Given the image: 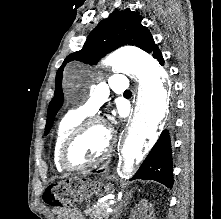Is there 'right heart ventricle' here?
Instances as JSON below:
<instances>
[{
	"label": "right heart ventricle",
	"mask_w": 221,
	"mask_h": 219,
	"mask_svg": "<svg viewBox=\"0 0 221 219\" xmlns=\"http://www.w3.org/2000/svg\"><path fill=\"white\" fill-rule=\"evenodd\" d=\"M88 114L79 110H72L66 113L58 122L53 142V163L57 171L64 172L66 169L59 160L60 149L71 130L83 121Z\"/></svg>",
	"instance_id": "obj_1"
}]
</instances>
